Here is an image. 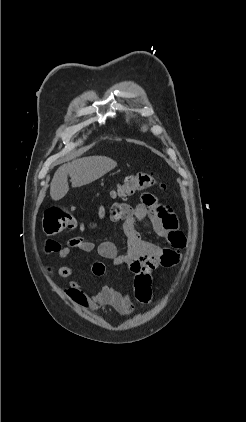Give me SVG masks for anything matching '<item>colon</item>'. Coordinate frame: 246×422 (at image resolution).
<instances>
[{
    "instance_id": "obj_1",
    "label": "colon",
    "mask_w": 246,
    "mask_h": 422,
    "mask_svg": "<svg viewBox=\"0 0 246 422\" xmlns=\"http://www.w3.org/2000/svg\"><path fill=\"white\" fill-rule=\"evenodd\" d=\"M152 187L165 188L151 172H138L128 175L117 185L113 192L115 197H128L139 191ZM43 230L47 234H57L63 229H74L77 221L69 209L52 206L44 213ZM181 254L173 249L164 250L158 257L144 259L135 268L134 297L142 305L151 301V272L157 267H172L179 263Z\"/></svg>"
}]
</instances>
